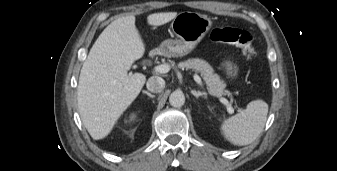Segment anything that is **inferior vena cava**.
<instances>
[{
    "label": "inferior vena cava",
    "instance_id": "602c4592",
    "mask_svg": "<svg viewBox=\"0 0 337 171\" xmlns=\"http://www.w3.org/2000/svg\"><path fill=\"white\" fill-rule=\"evenodd\" d=\"M146 86L149 91L159 93L165 88V81L161 77L152 76L148 79Z\"/></svg>",
    "mask_w": 337,
    "mask_h": 171
}]
</instances>
